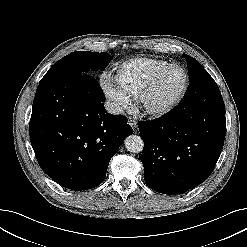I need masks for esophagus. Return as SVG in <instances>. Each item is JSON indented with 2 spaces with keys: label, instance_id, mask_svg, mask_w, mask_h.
Returning <instances> with one entry per match:
<instances>
[{
  "label": "esophagus",
  "instance_id": "esophagus-1",
  "mask_svg": "<svg viewBox=\"0 0 247 247\" xmlns=\"http://www.w3.org/2000/svg\"><path fill=\"white\" fill-rule=\"evenodd\" d=\"M128 123H129V125H131V127L133 128V130L135 131V132H137V128H138V125H137V122L134 120V119H129L128 120Z\"/></svg>",
  "mask_w": 247,
  "mask_h": 247
}]
</instances>
